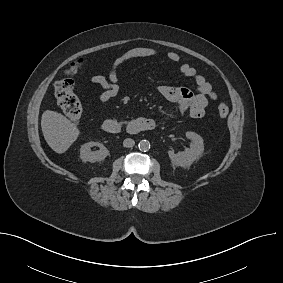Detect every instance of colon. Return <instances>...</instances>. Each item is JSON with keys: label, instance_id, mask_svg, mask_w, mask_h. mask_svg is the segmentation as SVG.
Returning a JSON list of instances; mask_svg holds the SVG:
<instances>
[{"label": "colon", "instance_id": "5ec220e1", "mask_svg": "<svg viewBox=\"0 0 283 283\" xmlns=\"http://www.w3.org/2000/svg\"><path fill=\"white\" fill-rule=\"evenodd\" d=\"M79 66L78 63L70 66L65 71L64 77L54 84V93L57 103L73 124H78L80 122L83 112L82 104L74 92L73 76L77 72ZM217 110L221 119H226L228 117L229 107L225 103H220Z\"/></svg>", "mask_w": 283, "mask_h": 283}]
</instances>
